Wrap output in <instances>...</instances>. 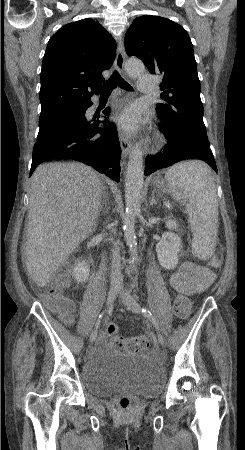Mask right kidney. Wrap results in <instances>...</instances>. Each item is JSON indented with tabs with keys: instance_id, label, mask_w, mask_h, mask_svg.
Masks as SVG:
<instances>
[{
	"instance_id": "obj_1",
	"label": "right kidney",
	"mask_w": 245,
	"mask_h": 450,
	"mask_svg": "<svg viewBox=\"0 0 245 450\" xmlns=\"http://www.w3.org/2000/svg\"><path fill=\"white\" fill-rule=\"evenodd\" d=\"M90 268L85 260L78 261L73 268V276L78 283H83L89 278Z\"/></svg>"
}]
</instances>
